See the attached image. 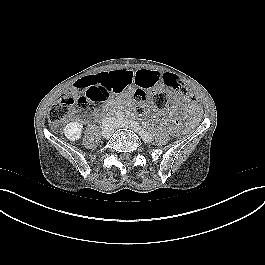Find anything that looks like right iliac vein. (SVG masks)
<instances>
[{"mask_svg":"<svg viewBox=\"0 0 265 265\" xmlns=\"http://www.w3.org/2000/svg\"><path fill=\"white\" fill-rule=\"evenodd\" d=\"M115 122L116 120L114 118H109L107 123H105L101 131V134L104 138H109L112 135L115 127Z\"/></svg>","mask_w":265,"mask_h":265,"instance_id":"obj_1","label":"right iliac vein"}]
</instances>
